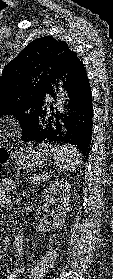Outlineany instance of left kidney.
Returning a JSON list of instances; mask_svg holds the SVG:
<instances>
[{"mask_svg": "<svg viewBox=\"0 0 113 279\" xmlns=\"http://www.w3.org/2000/svg\"><path fill=\"white\" fill-rule=\"evenodd\" d=\"M70 188L71 185L67 181L57 180L51 183L43 192L41 199L43 202H53L51 201L53 195H58V203L55 204L56 210L53 213V224L50 228H42V225H39L37 229L41 232H49L52 229H56L61 226L64 222V218L70 208Z\"/></svg>", "mask_w": 113, "mask_h": 279, "instance_id": "obj_1", "label": "left kidney"}]
</instances>
